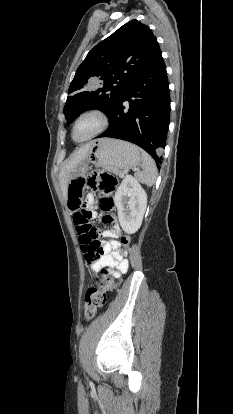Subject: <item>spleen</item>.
<instances>
[{
    "label": "spleen",
    "instance_id": "obj_1",
    "mask_svg": "<svg viewBox=\"0 0 233 414\" xmlns=\"http://www.w3.org/2000/svg\"><path fill=\"white\" fill-rule=\"evenodd\" d=\"M142 163L141 170L136 172V178L143 184L151 187L157 177V169L152 157L141 150Z\"/></svg>",
    "mask_w": 233,
    "mask_h": 414
}]
</instances>
